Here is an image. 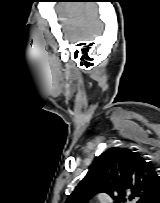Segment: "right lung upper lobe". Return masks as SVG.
Masks as SVG:
<instances>
[{"label": "right lung upper lobe", "instance_id": "cb5924a9", "mask_svg": "<svg viewBox=\"0 0 160 203\" xmlns=\"http://www.w3.org/2000/svg\"><path fill=\"white\" fill-rule=\"evenodd\" d=\"M104 192L115 203H150L160 195V175L136 152L110 148L98 157L87 175L65 203H87L96 193Z\"/></svg>", "mask_w": 160, "mask_h": 203}]
</instances>
